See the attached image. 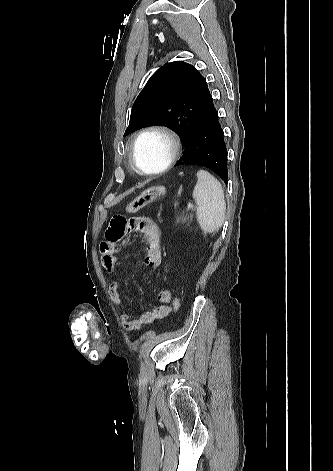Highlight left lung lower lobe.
<instances>
[{
	"instance_id": "obj_1",
	"label": "left lung lower lobe",
	"mask_w": 333,
	"mask_h": 471,
	"mask_svg": "<svg viewBox=\"0 0 333 471\" xmlns=\"http://www.w3.org/2000/svg\"><path fill=\"white\" fill-rule=\"evenodd\" d=\"M184 164L210 168L227 184V150L212 97L195 124L182 157L175 165Z\"/></svg>"
}]
</instances>
